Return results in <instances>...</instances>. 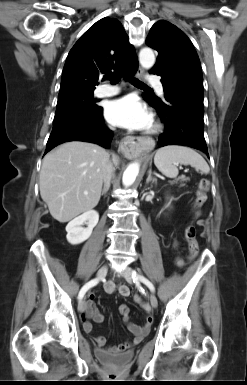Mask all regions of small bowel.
I'll return each mask as SVG.
<instances>
[{"label":"small bowel","mask_w":247,"mask_h":385,"mask_svg":"<svg viewBox=\"0 0 247 385\" xmlns=\"http://www.w3.org/2000/svg\"><path fill=\"white\" fill-rule=\"evenodd\" d=\"M104 290L109 294L119 293L121 296L130 295V288L127 285H117L113 281L106 282L104 284ZM125 290H127L126 293H124ZM134 300L147 313L145 322L143 325H137L133 323L129 316V308L124 304L120 305L118 308V312L122 316V321L126 325L128 331L134 335V339L131 341H126L117 346L109 347L108 350L112 353L124 352L127 349H129L133 344L138 343L149 331L152 325L153 317L150 314L149 305L146 302H144L139 296L137 298L135 296ZM103 320H104V315L98 310L95 304V295L93 293H90L86 301V309L82 315L84 330L86 332H91L92 331L91 321H94L96 323H101L103 322ZM95 340L99 348L102 349L105 347L106 339L103 336H97Z\"/></svg>","instance_id":"c3829d8e"}]
</instances>
